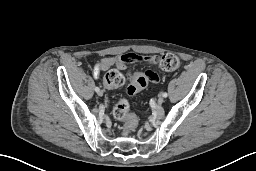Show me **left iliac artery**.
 Instances as JSON below:
<instances>
[{"mask_svg":"<svg viewBox=\"0 0 256 171\" xmlns=\"http://www.w3.org/2000/svg\"><path fill=\"white\" fill-rule=\"evenodd\" d=\"M162 96L166 98L168 96V94L166 92H164V93H162Z\"/></svg>","mask_w":256,"mask_h":171,"instance_id":"44dca946","label":"left iliac artery"}]
</instances>
